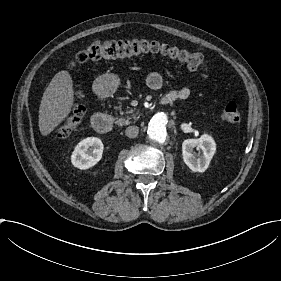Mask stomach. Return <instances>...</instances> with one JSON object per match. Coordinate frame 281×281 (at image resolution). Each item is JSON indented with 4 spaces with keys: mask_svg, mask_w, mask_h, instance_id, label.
I'll return each mask as SVG.
<instances>
[{
    "mask_svg": "<svg viewBox=\"0 0 281 281\" xmlns=\"http://www.w3.org/2000/svg\"><path fill=\"white\" fill-rule=\"evenodd\" d=\"M97 83L99 84V94L111 95L117 89L119 79L112 73H106L97 78Z\"/></svg>",
    "mask_w": 281,
    "mask_h": 281,
    "instance_id": "obj_1",
    "label": "stomach"
}]
</instances>
